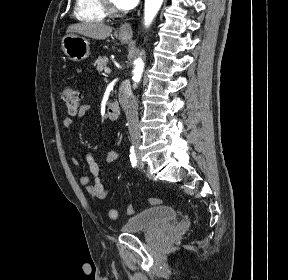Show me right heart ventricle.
<instances>
[{"mask_svg":"<svg viewBox=\"0 0 288 280\" xmlns=\"http://www.w3.org/2000/svg\"><path fill=\"white\" fill-rule=\"evenodd\" d=\"M74 14L84 22H101L106 17L101 0H76Z\"/></svg>","mask_w":288,"mask_h":280,"instance_id":"1","label":"right heart ventricle"}]
</instances>
